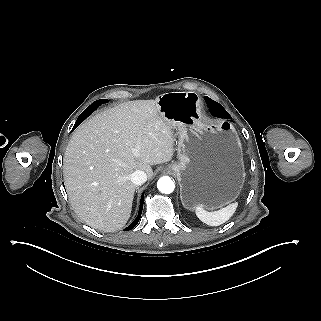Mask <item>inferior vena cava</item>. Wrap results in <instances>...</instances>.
I'll return each mask as SVG.
<instances>
[{
	"label": "inferior vena cava",
	"instance_id": "obj_1",
	"mask_svg": "<svg viewBox=\"0 0 321 321\" xmlns=\"http://www.w3.org/2000/svg\"><path fill=\"white\" fill-rule=\"evenodd\" d=\"M131 180L135 185H141L146 182L147 175L142 170H135L131 175Z\"/></svg>",
	"mask_w": 321,
	"mask_h": 321
}]
</instances>
